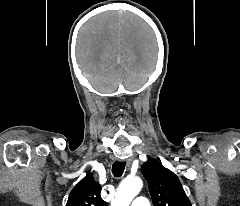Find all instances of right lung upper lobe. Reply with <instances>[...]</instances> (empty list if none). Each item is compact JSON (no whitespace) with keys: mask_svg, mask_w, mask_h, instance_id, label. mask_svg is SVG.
<instances>
[{"mask_svg":"<svg viewBox=\"0 0 240 206\" xmlns=\"http://www.w3.org/2000/svg\"><path fill=\"white\" fill-rule=\"evenodd\" d=\"M100 192L101 186L88 174L73 188L66 206H107Z\"/></svg>","mask_w":240,"mask_h":206,"instance_id":"cb5924a9","label":"right lung upper lobe"}]
</instances>
